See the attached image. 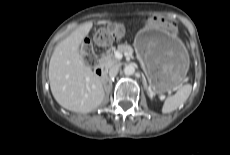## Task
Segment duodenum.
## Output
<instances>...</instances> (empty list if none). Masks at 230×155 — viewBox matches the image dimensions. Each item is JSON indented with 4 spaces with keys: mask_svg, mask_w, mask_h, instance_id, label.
Here are the masks:
<instances>
[{
    "mask_svg": "<svg viewBox=\"0 0 230 155\" xmlns=\"http://www.w3.org/2000/svg\"><path fill=\"white\" fill-rule=\"evenodd\" d=\"M95 73L96 75L101 78V79H105L106 78V74H105V69L103 66L98 65L95 69Z\"/></svg>",
    "mask_w": 230,
    "mask_h": 155,
    "instance_id": "obj_1",
    "label": "duodenum"
}]
</instances>
